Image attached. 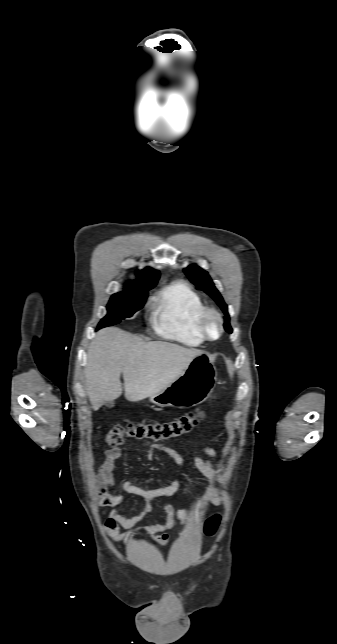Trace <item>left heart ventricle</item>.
Here are the masks:
<instances>
[{
  "label": "left heart ventricle",
  "instance_id": "obj_1",
  "mask_svg": "<svg viewBox=\"0 0 337 644\" xmlns=\"http://www.w3.org/2000/svg\"><path fill=\"white\" fill-rule=\"evenodd\" d=\"M209 331H210L211 335H213V336L216 335L217 330H216V326H215V324L213 322H211L209 324Z\"/></svg>",
  "mask_w": 337,
  "mask_h": 644
}]
</instances>
